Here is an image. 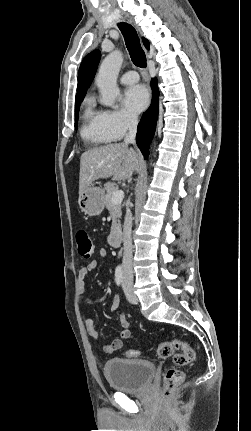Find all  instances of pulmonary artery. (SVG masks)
Instances as JSON below:
<instances>
[{
	"mask_svg": "<svg viewBox=\"0 0 251 431\" xmlns=\"http://www.w3.org/2000/svg\"><path fill=\"white\" fill-rule=\"evenodd\" d=\"M139 80V76L135 71H127L120 77V81L123 84H134Z\"/></svg>",
	"mask_w": 251,
	"mask_h": 431,
	"instance_id": "obj_1",
	"label": "pulmonary artery"
}]
</instances>
